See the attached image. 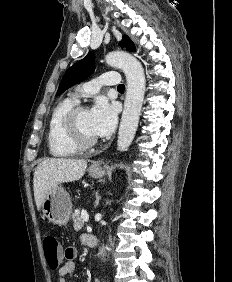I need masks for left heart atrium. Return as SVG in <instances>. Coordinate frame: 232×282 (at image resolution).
Listing matches in <instances>:
<instances>
[{"instance_id": "39dd6f15", "label": "left heart atrium", "mask_w": 232, "mask_h": 282, "mask_svg": "<svg viewBox=\"0 0 232 282\" xmlns=\"http://www.w3.org/2000/svg\"><path fill=\"white\" fill-rule=\"evenodd\" d=\"M89 112L91 127L96 136L104 137L113 132L117 124V108L107 99H97Z\"/></svg>"}]
</instances>
